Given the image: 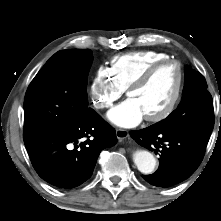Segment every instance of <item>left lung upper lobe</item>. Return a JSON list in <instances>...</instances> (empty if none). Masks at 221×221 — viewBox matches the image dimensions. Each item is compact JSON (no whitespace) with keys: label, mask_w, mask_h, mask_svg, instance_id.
<instances>
[{"label":"left lung upper lobe","mask_w":221,"mask_h":221,"mask_svg":"<svg viewBox=\"0 0 221 221\" xmlns=\"http://www.w3.org/2000/svg\"><path fill=\"white\" fill-rule=\"evenodd\" d=\"M154 125L165 132L192 130L211 134L214 127L213 101L202 74L190 66L185 68V85L179 106Z\"/></svg>","instance_id":"obj_1"}]
</instances>
